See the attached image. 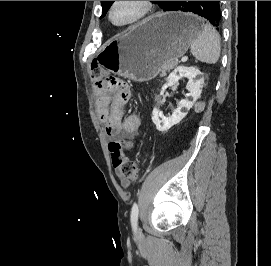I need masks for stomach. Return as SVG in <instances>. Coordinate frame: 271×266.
Here are the masks:
<instances>
[{
  "label": "stomach",
  "mask_w": 271,
  "mask_h": 266,
  "mask_svg": "<svg viewBox=\"0 0 271 266\" xmlns=\"http://www.w3.org/2000/svg\"><path fill=\"white\" fill-rule=\"evenodd\" d=\"M199 33L200 20L194 14H156L108 41L97 59L113 74L149 81L160 74L165 62L183 56Z\"/></svg>",
  "instance_id": "stomach-1"
}]
</instances>
